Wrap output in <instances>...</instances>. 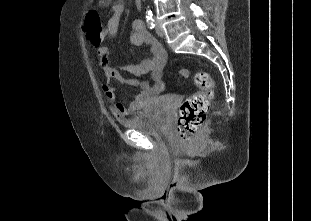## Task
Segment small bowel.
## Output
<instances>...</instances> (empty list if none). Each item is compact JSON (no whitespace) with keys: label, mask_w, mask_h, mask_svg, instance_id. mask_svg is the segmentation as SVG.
<instances>
[{"label":"small bowel","mask_w":311,"mask_h":221,"mask_svg":"<svg viewBox=\"0 0 311 221\" xmlns=\"http://www.w3.org/2000/svg\"><path fill=\"white\" fill-rule=\"evenodd\" d=\"M124 10L123 0L112 4L111 16L104 30L106 37L114 38L118 34ZM131 42L136 46L148 44L151 57L139 63L114 66L109 59V48L101 46L97 49L98 66L104 79L103 90L112 113L118 119L141 111L146 103L159 95L164 88L162 75L168 63V54L162 44L146 30L143 20L139 18L133 21ZM123 73L133 75L134 78H125ZM146 74L149 75L148 80L138 79ZM113 80L139 88V93L130 105L126 106L117 100L116 88L112 84Z\"/></svg>","instance_id":"c3829d8e"}]
</instances>
